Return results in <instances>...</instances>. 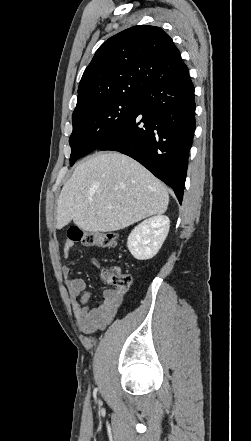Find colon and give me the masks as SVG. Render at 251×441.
Returning a JSON list of instances; mask_svg holds the SVG:
<instances>
[{
    "label": "colon",
    "mask_w": 251,
    "mask_h": 441,
    "mask_svg": "<svg viewBox=\"0 0 251 441\" xmlns=\"http://www.w3.org/2000/svg\"><path fill=\"white\" fill-rule=\"evenodd\" d=\"M67 238L72 242H81L86 246L100 248H113L119 240L115 233L85 231L78 226H71L68 229ZM101 277L107 284L119 290H127L132 281L131 275L123 272L119 267L104 269L101 272Z\"/></svg>",
    "instance_id": "colon-1"
}]
</instances>
